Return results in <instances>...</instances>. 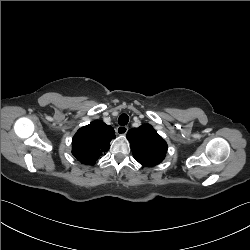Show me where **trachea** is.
I'll use <instances>...</instances> for the list:
<instances>
[{
	"label": "trachea",
	"instance_id": "obj_1",
	"mask_svg": "<svg viewBox=\"0 0 250 250\" xmlns=\"http://www.w3.org/2000/svg\"><path fill=\"white\" fill-rule=\"evenodd\" d=\"M128 121H129V116L127 114H121L118 118V123L121 126L126 125Z\"/></svg>",
	"mask_w": 250,
	"mask_h": 250
}]
</instances>
